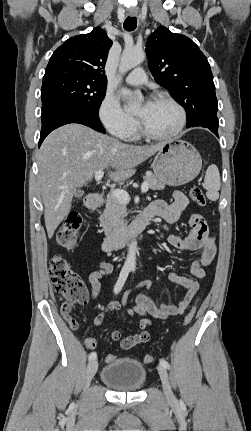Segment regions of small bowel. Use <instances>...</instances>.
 Wrapping results in <instances>:
<instances>
[{
    "mask_svg": "<svg viewBox=\"0 0 251 431\" xmlns=\"http://www.w3.org/2000/svg\"><path fill=\"white\" fill-rule=\"evenodd\" d=\"M187 205L188 199L185 194L176 191L171 203H167L164 200H156L145 210L150 212L152 217H160L168 223H174L179 220ZM189 223L191 231L187 235L180 236L172 234L167 238L168 243L177 249L187 252H200V258L196 260L191 267L192 277L182 276L175 272H169L167 275L169 281L187 290L182 300L177 305L168 304L166 302L157 305L149 296L139 294L133 299L132 306L128 307V294H126L121 302L113 301L108 303L94 318V326L98 327L111 311H121L125 309L127 314L131 316L138 315L143 317L138 323L140 330L138 333L124 336L119 330L111 332L110 339L112 341H119L120 349L128 350L136 345L148 342L150 333L147 328L152 325L154 320H166L171 316L182 315L197 294L200 288L198 280L205 277V268L214 259L216 245L214 236L210 233L205 219L200 214H192ZM112 272L113 265L109 261L104 260L100 263L98 269L89 274L88 284L93 299H96L100 293V279L110 275ZM150 287L151 282L149 280H143L137 283L134 289H149ZM119 318L122 319V315H120Z\"/></svg>",
    "mask_w": 251,
    "mask_h": 431,
    "instance_id": "small-bowel-1",
    "label": "small bowel"
}]
</instances>
